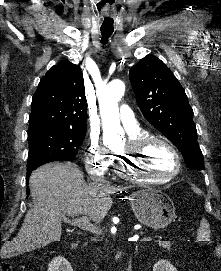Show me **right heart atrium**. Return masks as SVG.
I'll list each match as a JSON object with an SVG mask.
<instances>
[{
  "label": "right heart atrium",
  "mask_w": 221,
  "mask_h": 271,
  "mask_svg": "<svg viewBox=\"0 0 221 271\" xmlns=\"http://www.w3.org/2000/svg\"><path fill=\"white\" fill-rule=\"evenodd\" d=\"M88 162L87 167H92L95 173H107L108 167H111V159H114V154H108L106 151H98V146L88 147Z\"/></svg>",
  "instance_id": "1"
}]
</instances>
